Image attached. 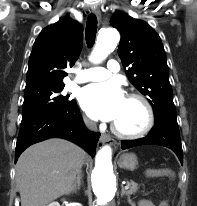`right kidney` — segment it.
I'll list each match as a JSON object with an SVG mask.
<instances>
[{
  "instance_id": "ca27d5eb",
  "label": "right kidney",
  "mask_w": 197,
  "mask_h": 206,
  "mask_svg": "<svg viewBox=\"0 0 197 206\" xmlns=\"http://www.w3.org/2000/svg\"><path fill=\"white\" fill-rule=\"evenodd\" d=\"M47 206H60V204L58 202H52Z\"/></svg>"
}]
</instances>
